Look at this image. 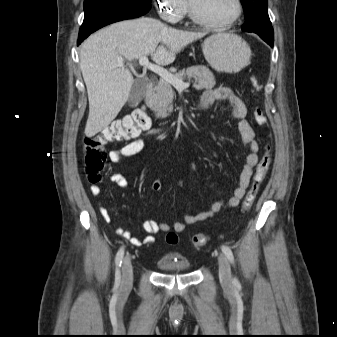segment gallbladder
<instances>
[{
    "mask_svg": "<svg viewBox=\"0 0 337 337\" xmlns=\"http://www.w3.org/2000/svg\"><path fill=\"white\" fill-rule=\"evenodd\" d=\"M145 90V80L142 78L136 79L130 91V101L133 103V105H137L140 102L145 94Z\"/></svg>",
    "mask_w": 337,
    "mask_h": 337,
    "instance_id": "obj_1",
    "label": "gallbladder"
}]
</instances>
